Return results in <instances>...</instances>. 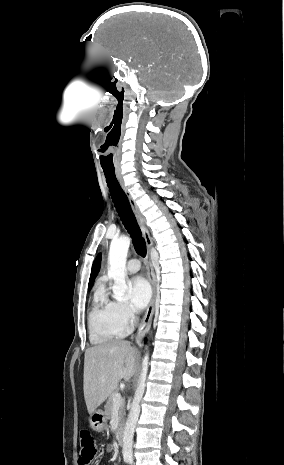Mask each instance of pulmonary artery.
Returning a JSON list of instances; mask_svg holds the SVG:
<instances>
[{
	"label": "pulmonary artery",
	"instance_id": "1",
	"mask_svg": "<svg viewBox=\"0 0 284 465\" xmlns=\"http://www.w3.org/2000/svg\"><path fill=\"white\" fill-rule=\"evenodd\" d=\"M140 269V262L137 259L129 260L126 265V271L129 274H134Z\"/></svg>",
	"mask_w": 284,
	"mask_h": 465
}]
</instances>
